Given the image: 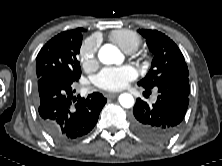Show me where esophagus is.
<instances>
[{"label":"esophagus","mask_w":222,"mask_h":166,"mask_svg":"<svg viewBox=\"0 0 222 166\" xmlns=\"http://www.w3.org/2000/svg\"><path fill=\"white\" fill-rule=\"evenodd\" d=\"M119 95V93H108L107 95H106V97H108V98H114V97H116V96H118Z\"/></svg>","instance_id":"1"}]
</instances>
